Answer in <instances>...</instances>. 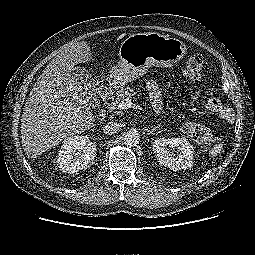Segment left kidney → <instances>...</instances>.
Masks as SVG:
<instances>
[{
  "label": "left kidney",
  "instance_id": "5707ae66",
  "mask_svg": "<svg viewBox=\"0 0 255 255\" xmlns=\"http://www.w3.org/2000/svg\"><path fill=\"white\" fill-rule=\"evenodd\" d=\"M179 151L175 157L170 149ZM153 150L161 165L173 171L192 167L194 148L186 138H159L153 142Z\"/></svg>",
  "mask_w": 255,
  "mask_h": 255
}]
</instances>
